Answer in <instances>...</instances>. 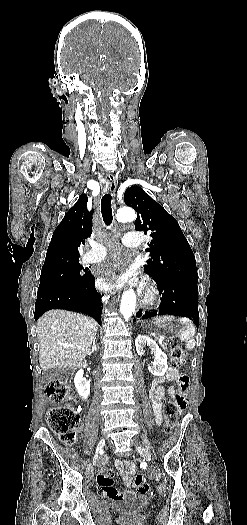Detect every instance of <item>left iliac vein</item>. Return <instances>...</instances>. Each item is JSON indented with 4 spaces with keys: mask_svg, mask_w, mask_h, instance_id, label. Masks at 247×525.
<instances>
[{
    "mask_svg": "<svg viewBox=\"0 0 247 525\" xmlns=\"http://www.w3.org/2000/svg\"><path fill=\"white\" fill-rule=\"evenodd\" d=\"M146 443H148V441H146ZM136 449L144 457L145 460H147V461H151L152 460L151 453L149 452V450L147 448H144V447H141V446L137 445Z\"/></svg>",
    "mask_w": 247,
    "mask_h": 525,
    "instance_id": "1",
    "label": "left iliac vein"
}]
</instances>
